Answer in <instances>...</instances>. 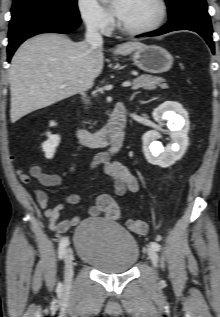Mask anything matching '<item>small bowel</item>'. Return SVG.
<instances>
[{"mask_svg":"<svg viewBox=\"0 0 220 317\" xmlns=\"http://www.w3.org/2000/svg\"><path fill=\"white\" fill-rule=\"evenodd\" d=\"M119 148H113L109 153L98 154L90 163V168L95 169L98 166H103L105 173L110 177L113 182L114 192L116 195L121 196L127 191L137 192L139 190V183L137 178L122 164L112 160V156ZM69 173L75 172V166H72ZM19 179L22 183H28L31 179L37 181L43 186L53 187L57 186L62 181L60 174H50L43 172L40 167L32 166L29 173L20 172ZM35 197L39 206L44 210L45 216L48 219L49 226L52 230L64 233L71 227L80 223L79 216H71L66 219H60L63 206L57 205L56 207L49 206L47 194L41 190H35ZM110 197L108 194H100L96 197V203L88 210L91 216H99L104 214L103 202L106 198ZM80 201V196L77 193H71L65 198V203L76 204Z\"/></svg>","mask_w":220,"mask_h":317,"instance_id":"obj_1","label":"small bowel"}]
</instances>
